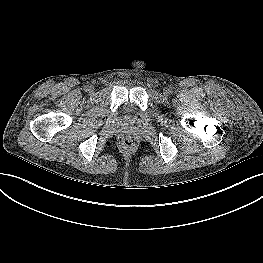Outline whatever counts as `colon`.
I'll use <instances>...</instances> for the list:
<instances>
[{
  "label": "colon",
  "instance_id": "colon-1",
  "mask_svg": "<svg viewBox=\"0 0 263 263\" xmlns=\"http://www.w3.org/2000/svg\"><path fill=\"white\" fill-rule=\"evenodd\" d=\"M131 144H132V142L130 140H128V139L123 140V142H122V145H124V146H129Z\"/></svg>",
  "mask_w": 263,
  "mask_h": 263
}]
</instances>
